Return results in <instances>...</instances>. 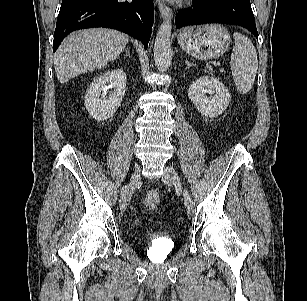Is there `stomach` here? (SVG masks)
<instances>
[{
  "label": "stomach",
  "instance_id": "stomach-1",
  "mask_svg": "<svg viewBox=\"0 0 307 301\" xmlns=\"http://www.w3.org/2000/svg\"><path fill=\"white\" fill-rule=\"evenodd\" d=\"M177 40L186 53L201 60L222 56L231 43L227 29L220 24L186 27L179 32Z\"/></svg>",
  "mask_w": 307,
  "mask_h": 301
}]
</instances>
